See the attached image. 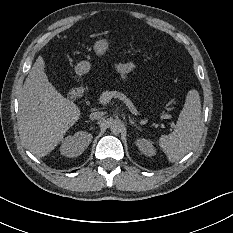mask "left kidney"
Returning <instances> with one entry per match:
<instances>
[{"mask_svg":"<svg viewBox=\"0 0 233 233\" xmlns=\"http://www.w3.org/2000/svg\"><path fill=\"white\" fill-rule=\"evenodd\" d=\"M135 144L144 155L149 157L156 155V149L151 140L139 138L136 140Z\"/></svg>","mask_w":233,"mask_h":233,"instance_id":"obj_1","label":"left kidney"}]
</instances>
